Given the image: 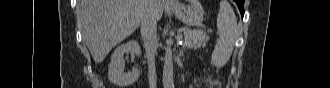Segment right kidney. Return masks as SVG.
Returning a JSON list of instances; mask_svg holds the SVG:
<instances>
[{"instance_id":"right-kidney-1","label":"right kidney","mask_w":330,"mask_h":88,"mask_svg":"<svg viewBox=\"0 0 330 88\" xmlns=\"http://www.w3.org/2000/svg\"><path fill=\"white\" fill-rule=\"evenodd\" d=\"M125 53L140 56L141 49L138 42L130 40L127 43L121 44L114 50L111 56V62L108 68V79L111 83L121 87L133 84L138 80L140 75V71L137 68H134L130 73H124Z\"/></svg>"}]
</instances>
